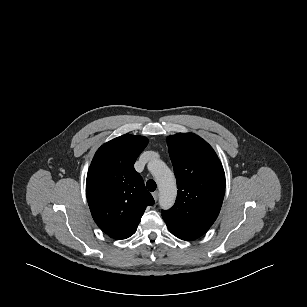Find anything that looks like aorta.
<instances>
[{"instance_id": "obj_1", "label": "aorta", "mask_w": 307, "mask_h": 307, "mask_svg": "<svg viewBox=\"0 0 307 307\" xmlns=\"http://www.w3.org/2000/svg\"><path fill=\"white\" fill-rule=\"evenodd\" d=\"M149 170L156 179L160 191V206L163 209L171 208L177 195L176 179L173 172L161 160L151 161L149 163Z\"/></svg>"}]
</instances>
